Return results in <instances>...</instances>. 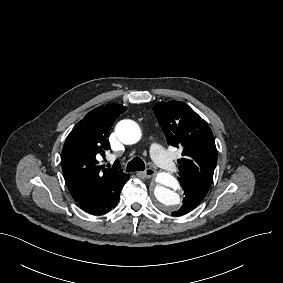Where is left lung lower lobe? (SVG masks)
<instances>
[{"mask_svg":"<svg viewBox=\"0 0 283 283\" xmlns=\"http://www.w3.org/2000/svg\"><path fill=\"white\" fill-rule=\"evenodd\" d=\"M178 180L184 190L185 197L181 208L171 213L173 216L184 215L193 210L202 201L210 188L199 181L183 180L180 178Z\"/></svg>","mask_w":283,"mask_h":283,"instance_id":"left-lung-lower-lobe-1","label":"left lung lower lobe"}]
</instances>
